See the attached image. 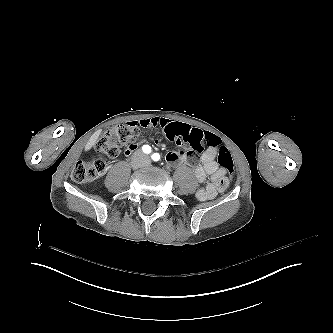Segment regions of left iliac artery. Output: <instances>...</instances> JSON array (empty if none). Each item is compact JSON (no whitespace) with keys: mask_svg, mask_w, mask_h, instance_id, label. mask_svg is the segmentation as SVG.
<instances>
[{"mask_svg":"<svg viewBox=\"0 0 333 333\" xmlns=\"http://www.w3.org/2000/svg\"><path fill=\"white\" fill-rule=\"evenodd\" d=\"M151 157L154 161H158L160 159V155L158 153H154Z\"/></svg>","mask_w":333,"mask_h":333,"instance_id":"1","label":"left iliac artery"}]
</instances>
